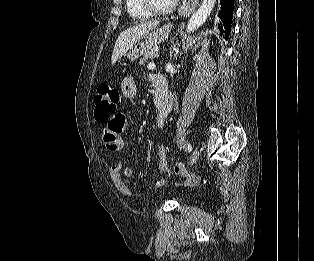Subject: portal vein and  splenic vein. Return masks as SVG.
Instances as JSON below:
<instances>
[{
    "instance_id": "portal-vein-and-splenic-vein-1",
    "label": "portal vein and splenic vein",
    "mask_w": 314,
    "mask_h": 261,
    "mask_svg": "<svg viewBox=\"0 0 314 261\" xmlns=\"http://www.w3.org/2000/svg\"><path fill=\"white\" fill-rule=\"evenodd\" d=\"M155 67H156V65H155L154 63H149V64L147 65V68H148V69H155Z\"/></svg>"
}]
</instances>
